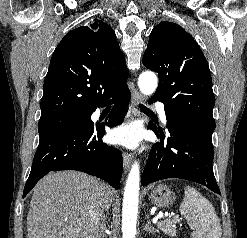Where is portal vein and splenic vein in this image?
I'll list each match as a JSON object with an SVG mask.
<instances>
[{"label": "portal vein and splenic vein", "instance_id": "1", "mask_svg": "<svg viewBox=\"0 0 247 238\" xmlns=\"http://www.w3.org/2000/svg\"><path fill=\"white\" fill-rule=\"evenodd\" d=\"M176 218H177V217H175V219H176ZM155 223H158V222H157V220H156V222H155Z\"/></svg>", "mask_w": 247, "mask_h": 238}]
</instances>
